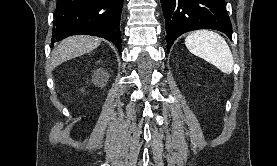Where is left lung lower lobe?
<instances>
[{
  "mask_svg": "<svg viewBox=\"0 0 277 166\" xmlns=\"http://www.w3.org/2000/svg\"><path fill=\"white\" fill-rule=\"evenodd\" d=\"M165 16L167 44L183 33L198 29H215L232 35V26L224 0H161Z\"/></svg>",
  "mask_w": 277,
  "mask_h": 166,
  "instance_id": "1",
  "label": "left lung lower lobe"
}]
</instances>
